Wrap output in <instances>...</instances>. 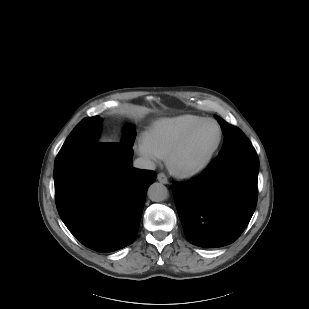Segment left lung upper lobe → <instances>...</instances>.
<instances>
[{
  "instance_id": "obj_1",
  "label": "left lung upper lobe",
  "mask_w": 309,
  "mask_h": 309,
  "mask_svg": "<svg viewBox=\"0 0 309 309\" xmlns=\"http://www.w3.org/2000/svg\"><path fill=\"white\" fill-rule=\"evenodd\" d=\"M215 118L221 124L225 136L223 147L218 156H222L243 148L252 147V144L240 129L228 124L219 116H215Z\"/></svg>"
}]
</instances>
